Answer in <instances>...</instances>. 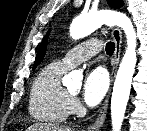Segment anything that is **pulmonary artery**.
I'll return each mask as SVG.
<instances>
[{
	"mask_svg": "<svg viewBox=\"0 0 147 131\" xmlns=\"http://www.w3.org/2000/svg\"><path fill=\"white\" fill-rule=\"evenodd\" d=\"M101 48L102 43L100 40L91 39L69 50L58 62L69 69L97 55L101 51Z\"/></svg>",
	"mask_w": 147,
	"mask_h": 131,
	"instance_id": "e3ab8cb5",
	"label": "pulmonary artery"
}]
</instances>
